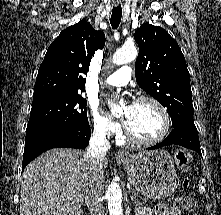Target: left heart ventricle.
<instances>
[{"instance_id": "b2bd125f", "label": "left heart ventricle", "mask_w": 221, "mask_h": 215, "mask_svg": "<svg viewBox=\"0 0 221 215\" xmlns=\"http://www.w3.org/2000/svg\"><path fill=\"white\" fill-rule=\"evenodd\" d=\"M125 125L135 136L152 139L160 134L163 121L159 110L152 103L145 101L134 103Z\"/></svg>"}]
</instances>
